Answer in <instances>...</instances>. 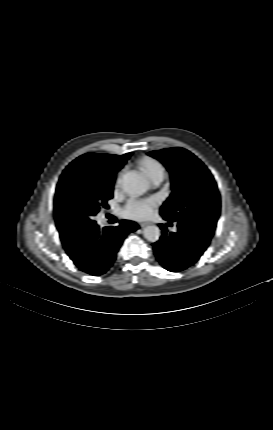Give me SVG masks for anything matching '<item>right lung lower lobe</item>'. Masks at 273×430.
Segmentation results:
<instances>
[{
  "mask_svg": "<svg viewBox=\"0 0 273 430\" xmlns=\"http://www.w3.org/2000/svg\"><path fill=\"white\" fill-rule=\"evenodd\" d=\"M139 226L122 220L117 227L100 229L96 222L84 230L74 242L65 245V251L83 272L99 276L114 264L124 238Z\"/></svg>",
  "mask_w": 273,
  "mask_h": 430,
  "instance_id": "1",
  "label": "right lung lower lobe"
}]
</instances>
